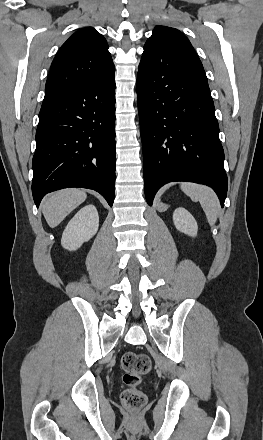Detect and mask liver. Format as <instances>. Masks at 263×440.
<instances>
[{
  "instance_id": "liver-1",
  "label": "liver",
  "mask_w": 263,
  "mask_h": 440,
  "mask_svg": "<svg viewBox=\"0 0 263 440\" xmlns=\"http://www.w3.org/2000/svg\"><path fill=\"white\" fill-rule=\"evenodd\" d=\"M86 197V193L80 189H64L50 195L42 206L48 225L51 228L58 226Z\"/></svg>"
}]
</instances>
